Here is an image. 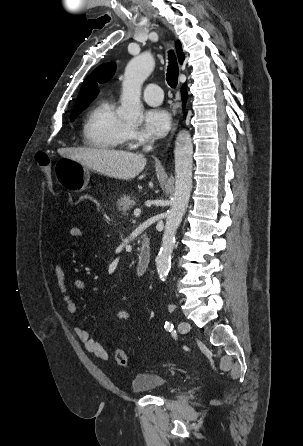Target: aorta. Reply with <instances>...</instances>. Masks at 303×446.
<instances>
[{
  "mask_svg": "<svg viewBox=\"0 0 303 446\" xmlns=\"http://www.w3.org/2000/svg\"><path fill=\"white\" fill-rule=\"evenodd\" d=\"M154 59L149 52L133 58L126 66L122 82L123 92L118 115L125 121L135 122L142 112L140 102L143 82L154 69ZM193 144L187 130L178 133L175 148V190L170 211L167 214L162 244L156 257L157 272L165 280L170 270L171 255L175 246V234L187 209L192 190Z\"/></svg>",
  "mask_w": 303,
  "mask_h": 446,
  "instance_id": "1",
  "label": "aorta"
}]
</instances>
